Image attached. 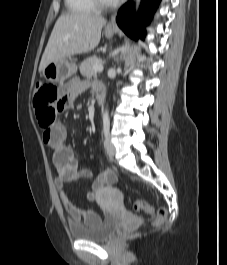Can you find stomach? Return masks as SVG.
<instances>
[{
	"label": "stomach",
	"mask_w": 227,
	"mask_h": 265,
	"mask_svg": "<svg viewBox=\"0 0 227 265\" xmlns=\"http://www.w3.org/2000/svg\"><path fill=\"white\" fill-rule=\"evenodd\" d=\"M113 33L114 31L111 29L105 31L107 37H112ZM76 71L77 65L65 59L64 61L49 63L42 71V76L49 82L59 83L70 78Z\"/></svg>",
	"instance_id": "1"
}]
</instances>
